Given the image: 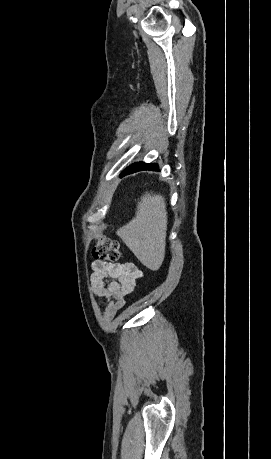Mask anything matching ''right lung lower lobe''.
I'll list each match as a JSON object with an SVG mask.
<instances>
[{"mask_svg":"<svg viewBox=\"0 0 271 459\" xmlns=\"http://www.w3.org/2000/svg\"><path fill=\"white\" fill-rule=\"evenodd\" d=\"M141 170H158V166L156 164H145V163H142V162L134 163L131 166H129L128 168H126L121 173L120 176L123 177L125 175L131 174V173H134V172H137V171H141Z\"/></svg>","mask_w":271,"mask_h":459,"instance_id":"right-lung-lower-lobe-1","label":"right lung lower lobe"}]
</instances>
